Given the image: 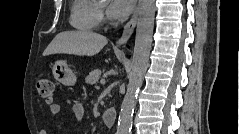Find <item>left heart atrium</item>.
Listing matches in <instances>:
<instances>
[{
  "mask_svg": "<svg viewBox=\"0 0 239 134\" xmlns=\"http://www.w3.org/2000/svg\"><path fill=\"white\" fill-rule=\"evenodd\" d=\"M134 0H114L108 7V14L111 19L123 21L132 12Z\"/></svg>",
  "mask_w": 239,
  "mask_h": 134,
  "instance_id": "obj_1",
  "label": "left heart atrium"
}]
</instances>
